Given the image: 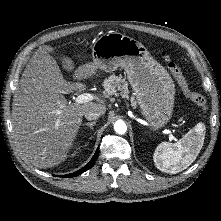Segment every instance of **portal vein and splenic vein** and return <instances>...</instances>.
<instances>
[{
    "instance_id": "18ae733b",
    "label": "portal vein and splenic vein",
    "mask_w": 221,
    "mask_h": 221,
    "mask_svg": "<svg viewBox=\"0 0 221 221\" xmlns=\"http://www.w3.org/2000/svg\"><path fill=\"white\" fill-rule=\"evenodd\" d=\"M95 99V96L94 95H92V94H90V93H83V94H81V95H79V96H77L76 98H75V102L76 103H78V104H82V103H86V102H89V101H92V100H94ZM168 131V133L170 134V137H169V139L172 141V140H175V138L173 137V135H172V133H173V131H171V130H167Z\"/></svg>"
}]
</instances>
